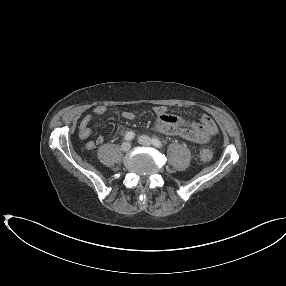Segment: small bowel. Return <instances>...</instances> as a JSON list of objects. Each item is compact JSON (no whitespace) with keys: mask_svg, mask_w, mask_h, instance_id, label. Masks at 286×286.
<instances>
[{"mask_svg":"<svg viewBox=\"0 0 286 286\" xmlns=\"http://www.w3.org/2000/svg\"><path fill=\"white\" fill-rule=\"evenodd\" d=\"M106 110L104 105H98L94 108L93 112L95 115L101 116L105 114ZM153 111L156 115V130L167 136L181 137L193 143L205 144L217 132L215 122L206 114L201 115L198 122H190L178 115L169 113L167 108L163 105L154 106ZM122 117L131 121L135 118V115L131 111H123ZM91 122V114H86L81 118L78 129V135L81 139H87L90 136ZM103 142L104 137L100 135L95 140L87 141L85 148L87 150H93L103 144Z\"/></svg>","mask_w":286,"mask_h":286,"instance_id":"small-bowel-1","label":"small bowel"}]
</instances>
